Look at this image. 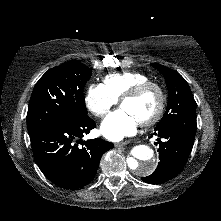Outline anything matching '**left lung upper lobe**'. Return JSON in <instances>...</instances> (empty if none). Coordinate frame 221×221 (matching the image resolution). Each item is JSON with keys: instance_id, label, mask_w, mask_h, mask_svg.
Masks as SVG:
<instances>
[{"instance_id": "obj_1", "label": "left lung upper lobe", "mask_w": 221, "mask_h": 221, "mask_svg": "<svg viewBox=\"0 0 221 221\" xmlns=\"http://www.w3.org/2000/svg\"><path fill=\"white\" fill-rule=\"evenodd\" d=\"M151 66L164 76L168 87V104L163 118L155 128H172L191 140L196 133V102L188 83L176 71L158 63Z\"/></svg>"}]
</instances>
